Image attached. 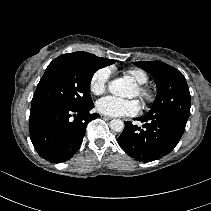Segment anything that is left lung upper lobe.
<instances>
[{"label": "left lung upper lobe", "instance_id": "1", "mask_svg": "<svg viewBox=\"0 0 211 211\" xmlns=\"http://www.w3.org/2000/svg\"><path fill=\"white\" fill-rule=\"evenodd\" d=\"M150 73L157 85V97L145 115H167L186 123L190 115V93L183 74L176 68L159 61L134 62Z\"/></svg>", "mask_w": 211, "mask_h": 211}]
</instances>
